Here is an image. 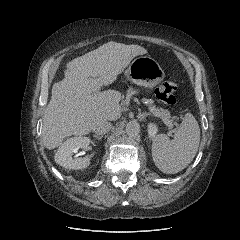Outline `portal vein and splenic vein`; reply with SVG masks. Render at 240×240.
I'll list each match as a JSON object with an SVG mask.
<instances>
[{
    "mask_svg": "<svg viewBox=\"0 0 240 240\" xmlns=\"http://www.w3.org/2000/svg\"><path fill=\"white\" fill-rule=\"evenodd\" d=\"M150 112H152L155 116L158 115V112L156 109L154 108H149ZM164 123L169 127V129H172L173 128V124L171 121H164ZM173 131H170V133H172Z\"/></svg>",
    "mask_w": 240,
    "mask_h": 240,
    "instance_id": "obj_1",
    "label": "portal vein and splenic vein"
}]
</instances>
